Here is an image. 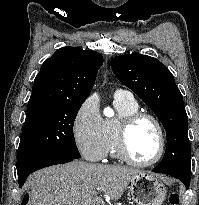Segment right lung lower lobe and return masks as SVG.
Listing matches in <instances>:
<instances>
[{
	"instance_id": "1",
	"label": "right lung lower lobe",
	"mask_w": 199,
	"mask_h": 205,
	"mask_svg": "<svg viewBox=\"0 0 199 205\" xmlns=\"http://www.w3.org/2000/svg\"><path fill=\"white\" fill-rule=\"evenodd\" d=\"M72 160L73 159H71V158H65V157H52V158L42 160L40 162H37V163L29 166L23 172L18 174V181H19L20 187H22L24 185L26 178L34 171H37L39 169H42V168H45L48 166L56 165V164L67 163V162H70Z\"/></svg>"
}]
</instances>
